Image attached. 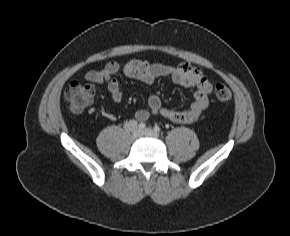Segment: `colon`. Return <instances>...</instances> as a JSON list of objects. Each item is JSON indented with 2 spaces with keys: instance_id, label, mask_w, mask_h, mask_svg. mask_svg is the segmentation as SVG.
<instances>
[{
  "instance_id": "1",
  "label": "colon",
  "mask_w": 290,
  "mask_h": 236,
  "mask_svg": "<svg viewBox=\"0 0 290 236\" xmlns=\"http://www.w3.org/2000/svg\"><path fill=\"white\" fill-rule=\"evenodd\" d=\"M214 94L220 102L229 101L232 97L231 90L224 84H217ZM64 96L69 103L70 111L74 114H80L93 103L95 89L89 84L72 82L66 87Z\"/></svg>"
}]
</instances>
